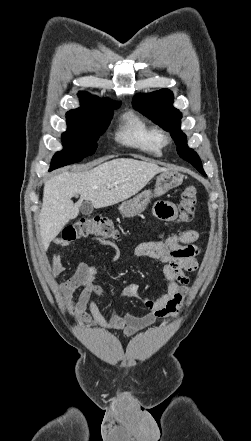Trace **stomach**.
<instances>
[{
  "instance_id": "1",
  "label": "stomach",
  "mask_w": 251,
  "mask_h": 441,
  "mask_svg": "<svg viewBox=\"0 0 251 441\" xmlns=\"http://www.w3.org/2000/svg\"><path fill=\"white\" fill-rule=\"evenodd\" d=\"M183 182V175L176 170L167 169L157 176L155 189L144 190L130 200L122 202L118 210L120 213L131 218L142 213L148 206L150 199L159 197L168 192L170 189L180 186Z\"/></svg>"
}]
</instances>
